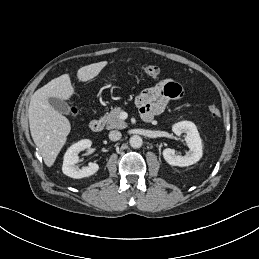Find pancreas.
<instances>
[{"label":"pancreas","instance_id":"obj_1","mask_svg":"<svg viewBox=\"0 0 259 259\" xmlns=\"http://www.w3.org/2000/svg\"><path fill=\"white\" fill-rule=\"evenodd\" d=\"M121 112L120 107H115L103 117L107 129H124L127 127L126 122L120 118Z\"/></svg>","mask_w":259,"mask_h":259}]
</instances>
